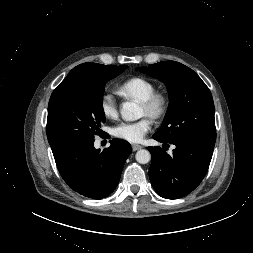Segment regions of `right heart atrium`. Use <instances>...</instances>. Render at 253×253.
Wrapping results in <instances>:
<instances>
[{"instance_id":"1","label":"right heart atrium","mask_w":253,"mask_h":253,"mask_svg":"<svg viewBox=\"0 0 253 253\" xmlns=\"http://www.w3.org/2000/svg\"><path fill=\"white\" fill-rule=\"evenodd\" d=\"M101 113L106 118H116L118 115V102L116 96L109 90L103 91L99 100Z\"/></svg>"}]
</instances>
